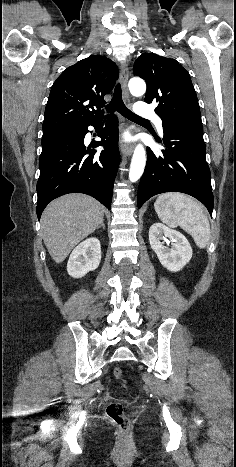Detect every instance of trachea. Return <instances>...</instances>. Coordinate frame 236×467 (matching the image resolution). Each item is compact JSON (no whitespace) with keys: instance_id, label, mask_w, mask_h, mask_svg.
<instances>
[{"instance_id":"1","label":"trachea","mask_w":236,"mask_h":467,"mask_svg":"<svg viewBox=\"0 0 236 467\" xmlns=\"http://www.w3.org/2000/svg\"><path fill=\"white\" fill-rule=\"evenodd\" d=\"M106 109L108 112H114L118 111L121 115H123L125 118L132 120V121H143V122H149L146 119H143L139 117L138 115L134 114L132 111H130L124 104L122 100V91H121V85L118 83L115 87L113 98L111 102L106 106Z\"/></svg>"}]
</instances>
